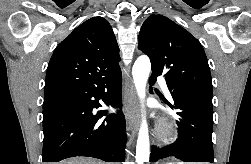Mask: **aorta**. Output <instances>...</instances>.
<instances>
[{"label":"aorta","mask_w":251,"mask_h":164,"mask_svg":"<svg viewBox=\"0 0 251 164\" xmlns=\"http://www.w3.org/2000/svg\"><path fill=\"white\" fill-rule=\"evenodd\" d=\"M150 71H151V63L148 56L141 55L140 57H138L132 68V76L137 94L141 102H143L146 96V84L149 78ZM149 155H150V143H149L148 125L145 116H143L137 139L136 163L144 164L145 162H148Z\"/></svg>","instance_id":"762f6f07"}]
</instances>
